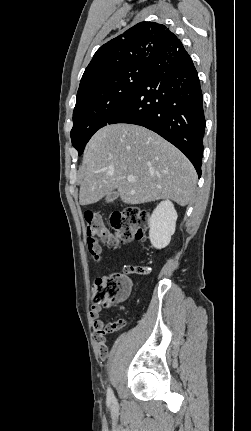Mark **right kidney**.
<instances>
[{
	"instance_id": "right-kidney-1",
	"label": "right kidney",
	"mask_w": 251,
	"mask_h": 431,
	"mask_svg": "<svg viewBox=\"0 0 251 431\" xmlns=\"http://www.w3.org/2000/svg\"><path fill=\"white\" fill-rule=\"evenodd\" d=\"M177 212L169 200L160 202L149 218V239L153 247L165 248L175 232Z\"/></svg>"
}]
</instances>
